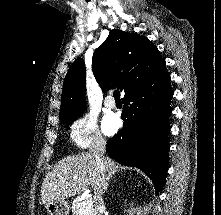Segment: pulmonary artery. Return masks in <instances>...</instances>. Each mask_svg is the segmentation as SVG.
Instances as JSON below:
<instances>
[{"label": "pulmonary artery", "mask_w": 221, "mask_h": 215, "mask_svg": "<svg viewBox=\"0 0 221 215\" xmlns=\"http://www.w3.org/2000/svg\"><path fill=\"white\" fill-rule=\"evenodd\" d=\"M104 104H105V107L108 109H113L115 108V105H116L112 97H107Z\"/></svg>", "instance_id": "e3ab8cb5"}]
</instances>
